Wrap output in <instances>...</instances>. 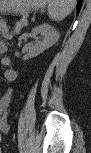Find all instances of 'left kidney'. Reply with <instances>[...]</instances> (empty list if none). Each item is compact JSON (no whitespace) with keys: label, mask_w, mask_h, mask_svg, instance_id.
Listing matches in <instances>:
<instances>
[{"label":"left kidney","mask_w":91,"mask_h":153,"mask_svg":"<svg viewBox=\"0 0 91 153\" xmlns=\"http://www.w3.org/2000/svg\"><path fill=\"white\" fill-rule=\"evenodd\" d=\"M33 34H41L42 41H38L33 47L27 51L25 58L36 57L46 49L50 48L58 39V33L54 27L48 24H41L33 29Z\"/></svg>","instance_id":"left-kidney-1"}]
</instances>
